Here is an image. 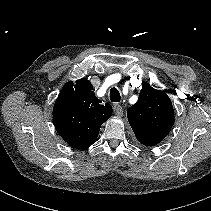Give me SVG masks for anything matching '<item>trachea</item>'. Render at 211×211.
<instances>
[{"label":"trachea","mask_w":211,"mask_h":211,"mask_svg":"<svg viewBox=\"0 0 211 211\" xmlns=\"http://www.w3.org/2000/svg\"><path fill=\"white\" fill-rule=\"evenodd\" d=\"M110 100L111 102H120L121 100L120 93L115 87L111 88L110 90Z\"/></svg>","instance_id":"trachea-1"}]
</instances>
